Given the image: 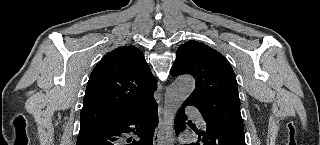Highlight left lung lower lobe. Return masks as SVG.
<instances>
[{
	"label": "left lung lower lobe",
	"mask_w": 320,
	"mask_h": 145,
	"mask_svg": "<svg viewBox=\"0 0 320 145\" xmlns=\"http://www.w3.org/2000/svg\"><path fill=\"white\" fill-rule=\"evenodd\" d=\"M187 105L191 104L184 102L182 109L177 114L175 128L178 131L186 129L185 121L187 116L184 114V107ZM206 125L207 128L204 131H200L195 127H192L198 136L185 145H246L244 131L224 125Z\"/></svg>",
	"instance_id": "0a47b994"
}]
</instances>
